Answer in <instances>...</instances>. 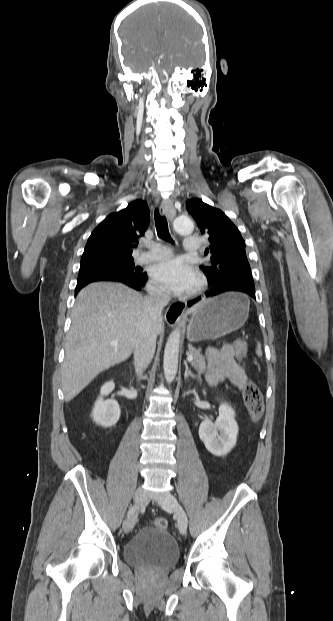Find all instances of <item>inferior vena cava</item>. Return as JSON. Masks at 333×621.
Masks as SVG:
<instances>
[{"label":"inferior vena cava","instance_id":"602c4592","mask_svg":"<svg viewBox=\"0 0 333 621\" xmlns=\"http://www.w3.org/2000/svg\"><path fill=\"white\" fill-rule=\"evenodd\" d=\"M144 301L147 314L134 346V366L138 376H141L154 356L158 327L162 323V310L170 301V293L162 288H155Z\"/></svg>","mask_w":333,"mask_h":621}]
</instances>
